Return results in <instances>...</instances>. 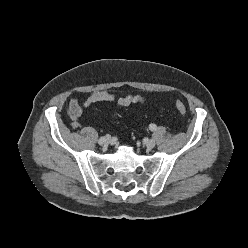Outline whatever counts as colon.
Segmentation results:
<instances>
[{
    "instance_id": "1",
    "label": "colon",
    "mask_w": 248,
    "mask_h": 248,
    "mask_svg": "<svg viewBox=\"0 0 248 248\" xmlns=\"http://www.w3.org/2000/svg\"><path fill=\"white\" fill-rule=\"evenodd\" d=\"M176 109L179 111L180 114L185 115L186 114V106L181 101H176L175 103Z\"/></svg>"
}]
</instances>
